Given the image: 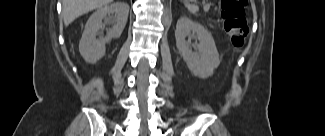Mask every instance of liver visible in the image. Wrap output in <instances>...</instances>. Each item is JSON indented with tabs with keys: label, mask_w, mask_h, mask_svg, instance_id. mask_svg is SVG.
<instances>
[{
	"label": "liver",
	"mask_w": 325,
	"mask_h": 136,
	"mask_svg": "<svg viewBox=\"0 0 325 136\" xmlns=\"http://www.w3.org/2000/svg\"><path fill=\"white\" fill-rule=\"evenodd\" d=\"M111 1L112 0H62V15L65 26L71 24L79 16L107 5Z\"/></svg>",
	"instance_id": "obj_1"
}]
</instances>
